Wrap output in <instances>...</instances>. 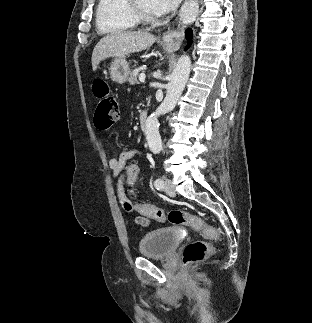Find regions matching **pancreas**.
<instances>
[{
  "label": "pancreas",
  "instance_id": "cf45deb5",
  "mask_svg": "<svg viewBox=\"0 0 312 323\" xmlns=\"http://www.w3.org/2000/svg\"><path fill=\"white\" fill-rule=\"evenodd\" d=\"M137 76L138 74H136V72H131L130 78H127V82L130 84V86H133V84H138Z\"/></svg>",
  "mask_w": 312,
  "mask_h": 323
}]
</instances>
